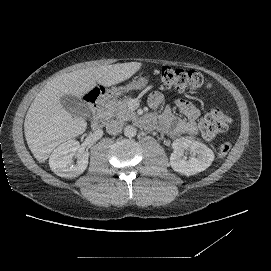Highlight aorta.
I'll use <instances>...</instances> for the list:
<instances>
[{"label":"aorta","instance_id":"obj_1","mask_svg":"<svg viewBox=\"0 0 271 271\" xmlns=\"http://www.w3.org/2000/svg\"><path fill=\"white\" fill-rule=\"evenodd\" d=\"M137 134V129L132 126V125H127L125 128H124V135L128 138H132L134 136H136Z\"/></svg>","mask_w":271,"mask_h":271}]
</instances>
